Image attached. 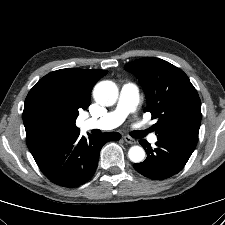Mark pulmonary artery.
<instances>
[{"instance_id":"e3ab8cb5","label":"pulmonary artery","mask_w":225,"mask_h":225,"mask_svg":"<svg viewBox=\"0 0 225 225\" xmlns=\"http://www.w3.org/2000/svg\"><path fill=\"white\" fill-rule=\"evenodd\" d=\"M139 102V94L137 87L132 83H126L122 86L116 107L101 118H89L85 120L84 127L86 129H102L109 130L121 125L127 116L134 112ZM151 143L157 141L155 135L150 137Z\"/></svg>"}]
</instances>
